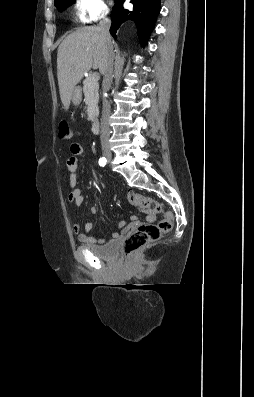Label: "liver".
Wrapping results in <instances>:
<instances>
[{
	"label": "liver",
	"mask_w": 254,
	"mask_h": 397,
	"mask_svg": "<svg viewBox=\"0 0 254 397\" xmlns=\"http://www.w3.org/2000/svg\"><path fill=\"white\" fill-rule=\"evenodd\" d=\"M113 46V43H112ZM107 48L99 27H84L68 35L58 47L57 77L60 98L67 111L73 88L92 67L104 72Z\"/></svg>",
	"instance_id": "obj_1"
}]
</instances>
